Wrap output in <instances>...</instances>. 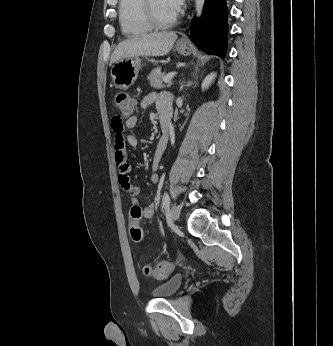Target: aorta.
I'll return each mask as SVG.
<instances>
[{"label": "aorta", "instance_id": "1", "mask_svg": "<svg viewBox=\"0 0 333 346\" xmlns=\"http://www.w3.org/2000/svg\"><path fill=\"white\" fill-rule=\"evenodd\" d=\"M204 2H205V0H196L195 1V7H196L197 16L201 15L202 9H203V6H204Z\"/></svg>", "mask_w": 333, "mask_h": 346}]
</instances>
